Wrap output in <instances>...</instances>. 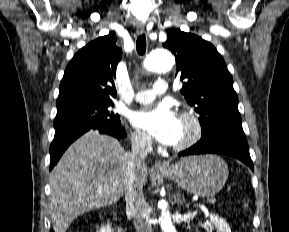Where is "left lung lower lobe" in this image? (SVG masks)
Here are the masks:
<instances>
[{"label":"left lung lower lobe","mask_w":289,"mask_h":232,"mask_svg":"<svg viewBox=\"0 0 289 232\" xmlns=\"http://www.w3.org/2000/svg\"><path fill=\"white\" fill-rule=\"evenodd\" d=\"M197 154H225L235 157L251 170H254L249 154V148L244 133L228 132L200 140L195 145L178 154V156H189Z\"/></svg>","instance_id":"obj_1"}]
</instances>
